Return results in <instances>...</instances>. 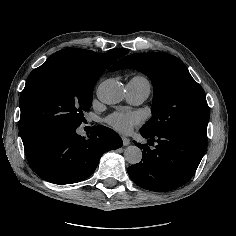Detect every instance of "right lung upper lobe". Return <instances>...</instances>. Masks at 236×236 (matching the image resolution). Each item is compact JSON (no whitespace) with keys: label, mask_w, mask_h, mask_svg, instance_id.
Returning a JSON list of instances; mask_svg holds the SVG:
<instances>
[{"label":"right lung upper lobe","mask_w":236,"mask_h":236,"mask_svg":"<svg viewBox=\"0 0 236 236\" xmlns=\"http://www.w3.org/2000/svg\"><path fill=\"white\" fill-rule=\"evenodd\" d=\"M127 53V50H112L101 54L83 49H64L53 54L51 57L62 55L69 56L87 68L103 73L106 68H108L118 58L124 56Z\"/></svg>","instance_id":"1"}]
</instances>
